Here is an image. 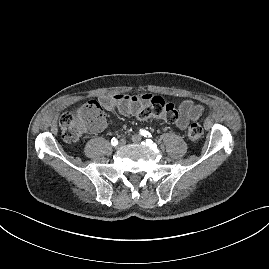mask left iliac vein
I'll use <instances>...</instances> for the list:
<instances>
[{
	"instance_id": "4c4485c4",
	"label": "left iliac vein",
	"mask_w": 269,
	"mask_h": 269,
	"mask_svg": "<svg viewBox=\"0 0 269 269\" xmlns=\"http://www.w3.org/2000/svg\"><path fill=\"white\" fill-rule=\"evenodd\" d=\"M141 140H142V137H141L139 134H134V135L132 136V141H133L134 143H139V142H141Z\"/></svg>"
}]
</instances>
